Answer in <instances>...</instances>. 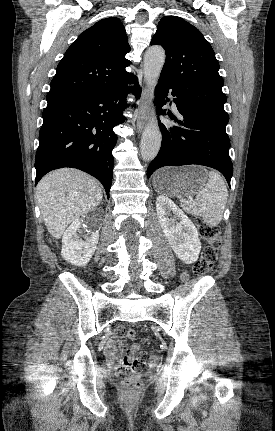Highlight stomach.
<instances>
[{
	"instance_id": "0dacf381",
	"label": "stomach",
	"mask_w": 275,
	"mask_h": 431,
	"mask_svg": "<svg viewBox=\"0 0 275 431\" xmlns=\"http://www.w3.org/2000/svg\"><path fill=\"white\" fill-rule=\"evenodd\" d=\"M207 179V171L201 166L167 167L154 174L153 185L159 193L182 198L198 193Z\"/></svg>"
}]
</instances>
